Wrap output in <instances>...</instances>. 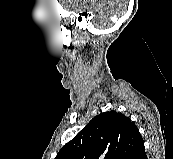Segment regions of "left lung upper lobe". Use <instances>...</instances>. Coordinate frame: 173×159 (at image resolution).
Returning <instances> with one entry per match:
<instances>
[{"label": "left lung upper lobe", "instance_id": "obj_1", "mask_svg": "<svg viewBox=\"0 0 173 159\" xmlns=\"http://www.w3.org/2000/svg\"><path fill=\"white\" fill-rule=\"evenodd\" d=\"M143 142L134 122L116 111L95 116L55 159H129Z\"/></svg>", "mask_w": 173, "mask_h": 159}]
</instances>
